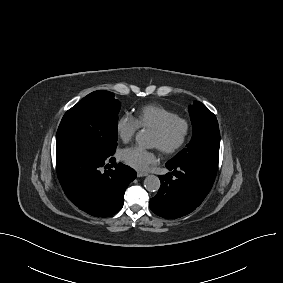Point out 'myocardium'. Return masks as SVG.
Segmentation results:
<instances>
[{
  "instance_id": "myocardium-1",
  "label": "myocardium",
  "mask_w": 283,
  "mask_h": 283,
  "mask_svg": "<svg viewBox=\"0 0 283 283\" xmlns=\"http://www.w3.org/2000/svg\"><path fill=\"white\" fill-rule=\"evenodd\" d=\"M175 125L182 126V134L175 144L169 147L160 148V150L166 155L175 154L184 147L190 134V122L186 118L176 115L165 121L160 127L153 130L157 135L164 138L169 134Z\"/></svg>"
}]
</instances>
